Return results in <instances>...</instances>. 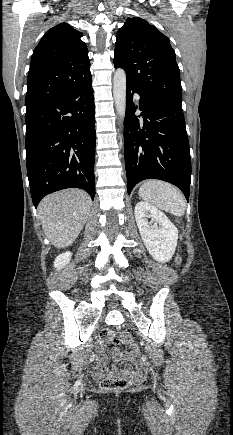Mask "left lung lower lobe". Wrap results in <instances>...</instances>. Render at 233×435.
<instances>
[{
    "instance_id": "left-lung-lower-lobe-1",
    "label": "left lung lower lobe",
    "mask_w": 233,
    "mask_h": 435,
    "mask_svg": "<svg viewBox=\"0 0 233 435\" xmlns=\"http://www.w3.org/2000/svg\"><path fill=\"white\" fill-rule=\"evenodd\" d=\"M133 93L140 95L139 106ZM124 153L128 194L153 178L176 185L189 200L191 159L182 105L150 98L127 82Z\"/></svg>"
}]
</instances>
